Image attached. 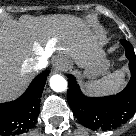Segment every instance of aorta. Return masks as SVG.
I'll return each mask as SVG.
<instances>
[{"instance_id":"obj_1","label":"aorta","mask_w":136,"mask_h":136,"mask_svg":"<svg viewBox=\"0 0 136 136\" xmlns=\"http://www.w3.org/2000/svg\"><path fill=\"white\" fill-rule=\"evenodd\" d=\"M49 83L51 89L55 92H64L68 86L66 79L59 74L53 75Z\"/></svg>"}]
</instances>
